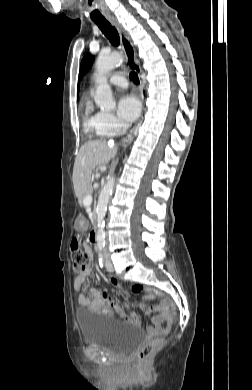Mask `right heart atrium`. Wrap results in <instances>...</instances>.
<instances>
[{"label":"right heart atrium","instance_id":"d8ad5b80","mask_svg":"<svg viewBox=\"0 0 252 390\" xmlns=\"http://www.w3.org/2000/svg\"><path fill=\"white\" fill-rule=\"evenodd\" d=\"M124 128V123L115 115L104 112L97 114V130L101 136L112 137Z\"/></svg>","mask_w":252,"mask_h":390}]
</instances>
